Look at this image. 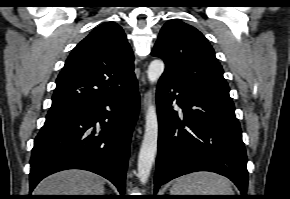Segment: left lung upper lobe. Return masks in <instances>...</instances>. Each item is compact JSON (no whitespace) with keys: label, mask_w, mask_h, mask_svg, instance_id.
<instances>
[{"label":"left lung upper lobe","mask_w":290,"mask_h":199,"mask_svg":"<svg viewBox=\"0 0 290 199\" xmlns=\"http://www.w3.org/2000/svg\"><path fill=\"white\" fill-rule=\"evenodd\" d=\"M151 54L164 60L166 68L163 76L231 100L222 66L210 43L196 28L178 20L167 22Z\"/></svg>","instance_id":"obj_1"}]
</instances>
